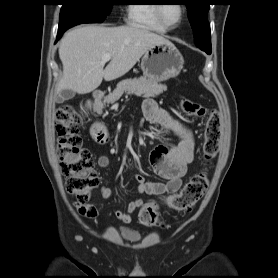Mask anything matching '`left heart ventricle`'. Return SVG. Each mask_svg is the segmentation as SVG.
<instances>
[{
	"label": "left heart ventricle",
	"instance_id": "1",
	"mask_svg": "<svg viewBox=\"0 0 278 278\" xmlns=\"http://www.w3.org/2000/svg\"><path fill=\"white\" fill-rule=\"evenodd\" d=\"M163 16L170 24H176L181 16V8L177 4L163 6Z\"/></svg>",
	"mask_w": 278,
	"mask_h": 278
}]
</instances>
